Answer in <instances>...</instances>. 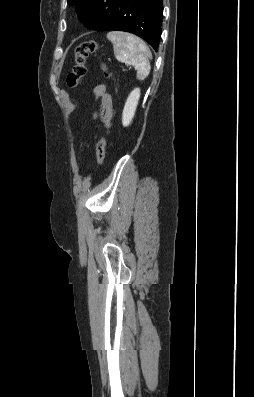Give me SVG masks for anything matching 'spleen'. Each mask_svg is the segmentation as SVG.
I'll use <instances>...</instances> for the list:
<instances>
[{
  "label": "spleen",
  "mask_w": 254,
  "mask_h": 397,
  "mask_svg": "<svg viewBox=\"0 0 254 397\" xmlns=\"http://www.w3.org/2000/svg\"><path fill=\"white\" fill-rule=\"evenodd\" d=\"M107 39L113 44L114 55L120 62L130 64L137 70V79L144 80L149 75L151 51L139 37L121 31H112Z\"/></svg>",
  "instance_id": "3e777b00"
}]
</instances>
